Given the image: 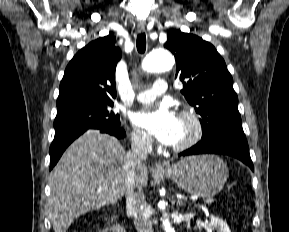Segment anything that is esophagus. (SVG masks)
Here are the masks:
<instances>
[{"instance_id":"obj_1","label":"esophagus","mask_w":289,"mask_h":232,"mask_svg":"<svg viewBox=\"0 0 289 232\" xmlns=\"http://www.w3.org/2000/svg\"><path fill=\"white\" fill-rule=\"evenodd\" d=\"M137 31L139 33H143L145 31V25L144 24H139L137 26ZM154 168L156 170H163L166 168V165L164 163H161V162H156L155 165H154Z\"/></svg>"}]
</instances>
